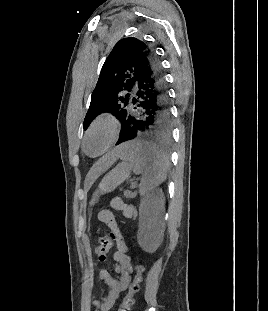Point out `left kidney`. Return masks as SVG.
<instances>
[{
    "label": "left kidney",
    "mask_w": 268,
    "mask_h": 311,
    "mask_svg": "<svg viewBox=\"0 0 268 311\" xmlns=\"http://www.w3.org/2000/svg\"><path fill=\"white\" fill-rule=\"evenodd\" d=\"M164 195L162 190L153 192L140 208L137 240L148 253L155 252L164 235Z\"/></svg>",
    "instance_id": "left-kidney-1"
}]
</instances>
